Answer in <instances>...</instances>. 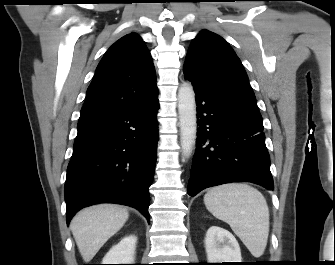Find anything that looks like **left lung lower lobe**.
<instances>
[{
	"label": "left lung lower lobe",
	"mask_w": 335,
	"mask_h": 265,
	"mask_svg": "<svg viewBox=\"0 0 335 265\" xmlns=\"http://www.w3.org/2000/svg\"><path fill=\"white\" fill-rule=\"evenodd\" d=\"M192 84L199 128L188 194L193 197L230 182H252L273 190L260 112Z\"/></svg>",
	"instance_id": "0a47b994"
}]
</instances>
